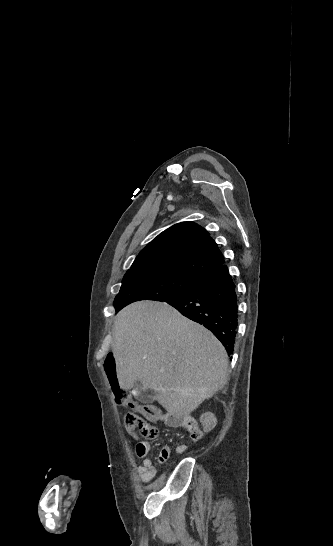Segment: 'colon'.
<instances>
[{
	"instance_id": "colon-1",
	"label": "colon",
	"mask_w": 333,
	"mask_h": 546,
	"mask_svg": "<svg viewBox=\"0 0 333 546\" xmlns=\"http://www.w3.org/2000/svg\"><path fill=\"white\" fill-rule=\"evenodd\" d=\"M104 370L110 379V385L114 393L115 401L118 405L129 407L133 412L128 413L124 419V427L130 434L138 428L142 437L154 439L158 435V429L147 422L139 414L149 418L156 414V409L151 405L140 404L130 397L127 391L119 388L116 375V358L113 354H108L104 360Z\"/></svg>"
}]
</instances>
